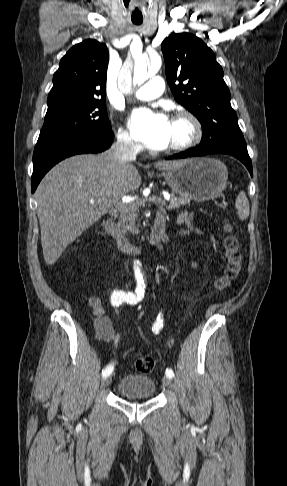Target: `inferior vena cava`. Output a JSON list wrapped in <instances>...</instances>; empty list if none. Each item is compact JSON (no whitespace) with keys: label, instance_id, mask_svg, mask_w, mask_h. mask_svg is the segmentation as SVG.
Instances as JSON below:
<instances>
[{"label":"inferior vena cava","instance_id":"inferior-vena-cava-1","mask_svg":"<svg viewBox=\"0 0 287 486\" xmlns=\"http://www.w3.org/2000/svg\"><path fill=\"white\" fill-rule=\"evenodd\" d=\"M138 146L128 135H118L117 141L111 146L109 153L119 163H128L136 159Z\"/></svg>","mask_w":287,"mask_h":486}]
</instances>
